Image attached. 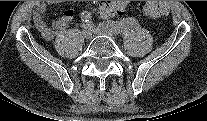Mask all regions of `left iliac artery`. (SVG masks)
Instances as JSON below:
<instances>
[{"label":"left iliac artery","mask_w":207,"mask_h":121,"mask_svg":"<svg viewBox=\"0 0 207 121\" xmlns=\"http://www.w3.org/2000/svg\"><path fill=\"white\" fill-rule=\"evenodd\" d=\"M136 21L133 18H126L124 21H107L101 24V26H106L114 30L116 33H122L126 31L127 28L133 27Z\"/></svg>","instance_id":"1"}]
</instances>
